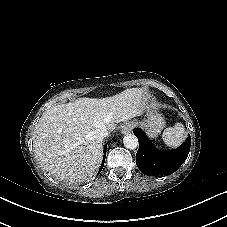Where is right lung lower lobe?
Segmentation results:
<instances>
[{"label":"right lung lower lobe","instance_id":"obj_1","mask_svg":"<svg viewBox=\"0 0 227 227\" xmlns=\"http://www.w3.org/2000/svg\"><path fill=\"white\" fill-rule=\"evenodd\" d=\"M105 157H106V145H105V147H104V158H103L102 165H101V168H100L99 172H101V170H102V168H103V166H104Z\"/></svg>","mask_w":227,"mask_h":227}]
</instances>
